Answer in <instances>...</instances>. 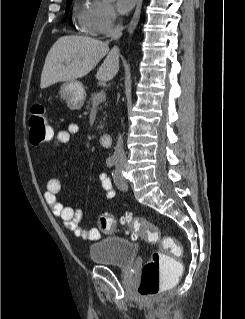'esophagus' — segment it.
I'll return each mask as SVG.
<instances>
[{
  "label": "esophagus",
  "mask_w": 245,
  "mask_h": 319,
  "mask_svg": "<svg viewBox=\"0 0 245 319\" xmlns=\"http://www.w3.org/2000/svg\"><path fill=\"white\" fill-rule=\"evenodd\" d=\"M142 1L143 0H137V6H136V9H135V12H134V15L128 25V34L131 35L137 24H138V21H139V18H140V12H141V7H142Z\"/></svg>",
  "instance_id": "obj_1"
}]
</instances>
